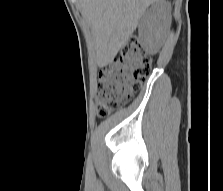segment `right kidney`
<instances>
[{
	"mask_svg": "<svg viewBox=\"0 0 223 191\" xmlns=\"http://www.w3.org/2000/svg\"><path fill=\"white\" fill-rule=\"evenodd\" d=\"M168 3H154L144 14L139 25L140 44L150 54H155L165 36L169 25Z\"/></svg>",
	"mask_w": 223,
	"mask_h": 191,
	"instance_id": "ca27d5eb",
	"label": "right kidney"
}]
</instances>
